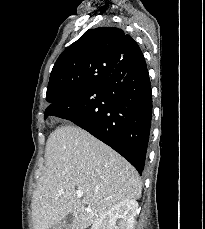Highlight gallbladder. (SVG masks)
<instances>
[{
    "label": "gallbladder",
    "mask_w": 205,
    "mask_h": 229,
    "mask_svg": "<svg viewBox=\"0 0 205 229\" xmlns=\"http://www.w3.org/2000/svg\"><path fill=\"white\" fill-rule=\"evenodd\" d=\"M72 221H73V216L70 213L60 222L53 225L50 229H71L70 227H71Z\"/></svg>",
    "instance_id": "obj_1"
}]
</instances>
